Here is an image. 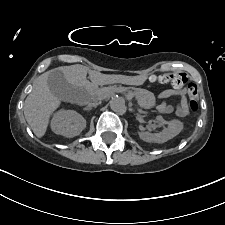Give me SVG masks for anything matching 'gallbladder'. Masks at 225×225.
<instances>
[{
  "mask_svg": "<svg viewBox=\"0 0 225 225\" xmlns=\"http://www.w3.org/2000/svg\"><path fill=\"white\" fill-rule=\"evenodd\" d=\"M47 83L52 94L65 102L77 101L82 93V89L69 84L63 72L58 69L49 73Z\"/></svg>",
  "mask_w": 225,
  "mask_h": 225,
  "instance_id": "1",
  "label": "gallbladder"
}]
</instances>
